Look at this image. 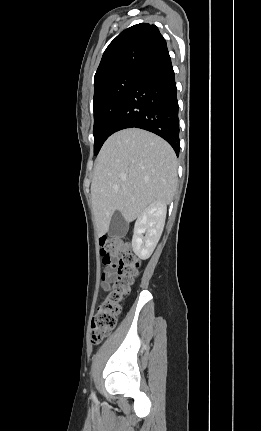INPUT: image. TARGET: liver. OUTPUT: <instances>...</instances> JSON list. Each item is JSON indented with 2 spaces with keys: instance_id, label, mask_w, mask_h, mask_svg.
I'll list each match as a JSON object with an SVG mask.
<instances>
[{
  "instance_id": "liver-1",
  "label": "liver",
  "mask_w": 261,
  "mask_h": 431,
  "mask_svg": "<svg viewBox=\"0 0 261 431\" xmlns=\"http://www.w3.org/2000/svg\"><path fill=\"white\" fill-rule=\"evenodd\" d=\"M177 188L172 147L148 131L129 128L111 135L95 161L92 207L99 236L118 211L132 222L151 204H169Z\"/></svg>"
}]
</instances>
